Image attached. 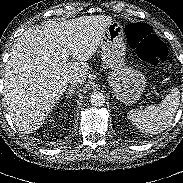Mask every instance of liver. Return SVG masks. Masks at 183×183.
<instances>
[{"label":"liver","mask_w":183,"mask_h":183,"mask_svg":"<svg viewBox=\"0 0 183 183\" xmlns=\"http://www.w3.org/2000/svg\"><path fill=\"white\" fill-rule=\"evenodd\" d=\"M112 17L82 16L32 26L12 46L5 67L3 94L9 113L21 131L39 129L67 88V78L86 81L88 61L100 45ZM66 50L78 61L62 60Z\"/></svg>","instance_id":"obj_1"}]
</instances>
